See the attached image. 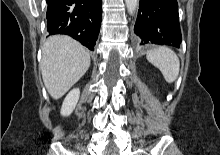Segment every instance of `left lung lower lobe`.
Segmentation results:
<instances>
[{
	"mask_svg": "<svg viewBox=\"0 0 220 155\" xmlns=\"http://www.w3.org/2000/svg\"><path fill=\"white\" fill-rule=\"evenodd\" d=\"M134 27L137 44L149 43L179 47L182 36L177 0H140Z\"/></svg>",
	"mask_w": 220,
	"mask_h": 155,
	"instance_id": "1",
	"label": "left lung lower lobe"
}]
</instances>
